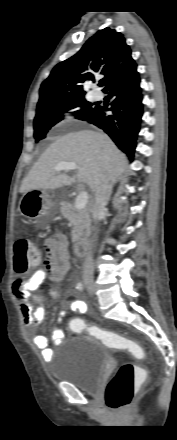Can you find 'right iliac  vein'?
<instances>
[{"mask_svg":"<svg viewBox=\"0 0 177 440\" xmlns=\"http://www.w3.org/2000/svg\"><path fill=\"white\" fill-rule=\"evenodd\" d=\"M85 287L90 293L94 292V284L91 281H85Z\"/></svg>","mask_w":177,"mask_h":440,"instance_id":"obj_1","label":"right iliac vein"}]
</instances>
